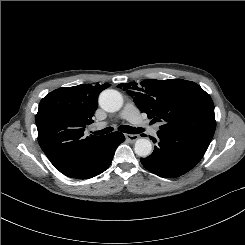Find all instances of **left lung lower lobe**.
<instances>
[{
    "instance_id": "obj_1",
    "label": "left lung lower lobe",
    "mask_w": 245,
    "mask_h": 245,
    "mask_svg": "<svg viewBox=\"0 0 245 245\" xmlns=\"http://www.w3.org/2000/svg\"><path fill=\"white\" fill-rule=\"evenodd\" d=\"M153 153L141 158L143 166L164 178L179 177L190 171L203 157L211 140L200 136L159 130Z\"/></svg>"
}]
</instances>
